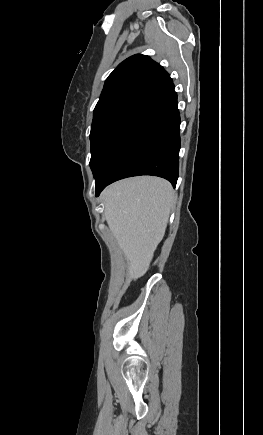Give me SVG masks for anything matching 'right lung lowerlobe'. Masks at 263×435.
<instances>
[{
  "label": "right lung lower lobe",
  "instance_id": "right-lung-lower-lobe-1",
  "mask_svg": "<svg viewBox=\"0 0 263 435\" xmlns=\"http://www.w3.org/2000/svg\"><path fill=\"white\" fill-rule=\"evenodd\" d=\"M180 115L170 84L147 101L128 124L95 177L96 196L110 183L154 175L176 185L179 168Z\"/></svg>",
  "mask_w": 263,
  "mask_h": 435
}]
</instances>
